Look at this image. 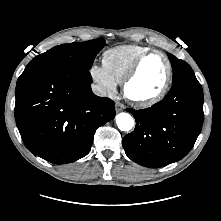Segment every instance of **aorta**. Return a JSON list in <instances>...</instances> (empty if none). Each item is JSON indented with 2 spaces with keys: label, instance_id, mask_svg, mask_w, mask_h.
<instances>
[{
  "label": "aorta",
  "instance_id": "obj_1",
  "mask_svg": "<svg viewBox=\"0 0 221 221\" xmlns=\"http://www.w3.org/2000/svg\"><path fill=\"white\" fill-rule=\"evenodd\" d=\"M116 124L121 131H130L134 125L133 117L128 113L116 115Z\"/></svg>",
  "mask_w": 221,
  "mask_h": 221
}]
</instances>
